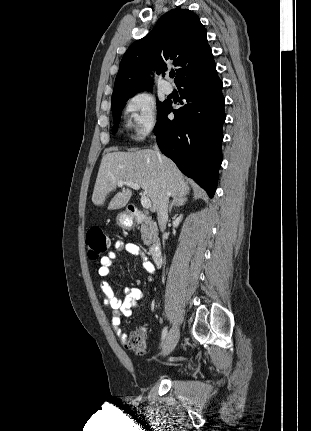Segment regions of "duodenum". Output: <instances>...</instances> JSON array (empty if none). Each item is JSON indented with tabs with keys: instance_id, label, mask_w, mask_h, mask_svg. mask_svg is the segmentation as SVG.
I'll use <instances>...</instances> for the list:
<instances>
[{
	"instance_id": "410a0bca",
	"label": "duodenum",
	"mask_w": 311,
	"mask_h": 431,
	"mask_svg": "<svg viewBox=\"0 0 311 431\" xmlns=\"http://www.w3.org/2000/svg\"><path fill=\"white\" fill-rule=\"evenodd\" d=\"M128 217L134 222H142L146 220L145 214L137 207L129 205L126 209ZM149 254L152 261L158 265L161 261V247L158 242L152 243L149 247Z\"/></svg>"
}]
</instances>
